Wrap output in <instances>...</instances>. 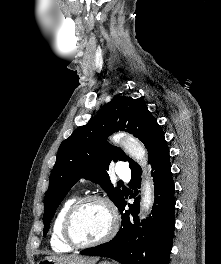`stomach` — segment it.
I'll return each mask as SVG.
<instances>
[{
    "mask_svg": "<svg viewBox=\"0 0 221 264\" xmlns=\"http://www.w3.org/2000/svg\"><path fill=\"white\" fill-rule=\"evenodd\" d=\"M37 264H63L57 260H53V259H42L40 260ZM99 264H112L111 262H108V261H103V262H100Z\"/></svg>",
    "mask_w": 221,
    "mask_h": 264,
    "instance_id": "obj_1",
    "label": "stomach"
}]
</instances>
